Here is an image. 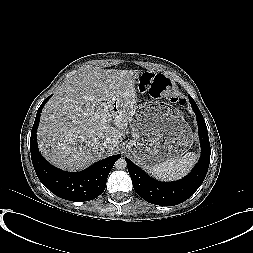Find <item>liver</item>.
Returning a JSON list of instances; mask_svg holds the SVG:
<instances>
[{"instance_id": "liver-1", "label": "liver", "mask_w": 253, "mask_h": 253, "mask_svg": "<svg viewBox=\"0 0 253 253\" xmlns=\"http://www.w3.org/2000/svg\"><path fill=\"white\" fill-rule=\"evenodd\" d=\"M139 75L94 68L69 78L42 111L37 133L42 155L61 169L78 171L116 152L135 113ZM107 139L113 143L106 149Z\"/></svg>"}]
</instances>
